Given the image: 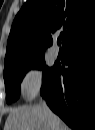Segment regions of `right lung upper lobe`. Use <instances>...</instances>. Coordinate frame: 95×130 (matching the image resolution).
Returning <instances> with one entry per match:
<instances>
[{"label": "right lung upper lobe", "instance_id": "cb5924a9", "mask_svg": "<svg viewBox=\"0 0 95 130\" xmlns=\"http://www.w3.org/2000/svg\"><path fill=\"white\" fill-rule=\"evenodd\" d=\"M94 30L95 0H28L14 19L4 71L43 58L56 31L64 47Z\"/></svg>", "mask_w": 95, "mask_h": 130}]
</instances>
